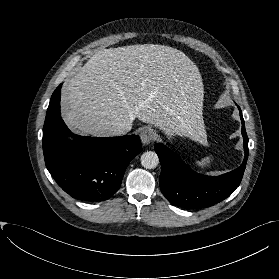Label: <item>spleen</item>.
I'll use <instances>...</instances> for the list:
<instances>
[{"mask_svg":"<svg viewBox=\"0 0 279 279\" xmlns=\"http://www.w3.org/2000/svg\"><path fill=\"white\" fill-rule=\"evenodd\" d=\"M211 163H212V157L207 156L205 158H202L199 161H196L193 165L203 169L205 166H209Z\"/></svg>","mask_w":279,"mask_h":279,"instance_id":"1","label":"spleen"}]
</instances>
